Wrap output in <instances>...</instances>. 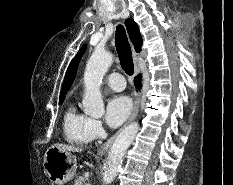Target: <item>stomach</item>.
<instances>
[{
	"label": "stomach",
	"mask_w": 233,
	"mask_h": 185,
	"mask_svg": "<svg viewBox=\"0 0 233 185\" xmlns=\"http://www.w3.org/2000/svg\"><path fill=\"white\" fill-rule=\"evenodd\" d=\"M43 167L52 185H64L76 175V157L51 146L44 154Z\"/></svg>",
	"instance_id": "0dacf381"
}]
</instances>
